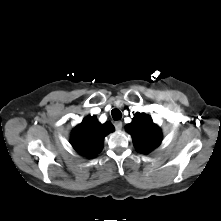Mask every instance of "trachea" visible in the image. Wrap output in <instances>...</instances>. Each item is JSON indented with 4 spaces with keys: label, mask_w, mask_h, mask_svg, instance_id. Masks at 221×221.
<instances>
[{
    "label": "trachea",
    "mask_w": 221,
    "mask_h": 221,
    "mask_svg": "<svg viewBox=\"0 0 221 221\" xmlns=\"http://www.w3.org/2000/svg\"><path fill=\"white\" fill-rule=\"evenodd\" d=\"M111 115L115 121L120 120L122 118V113L119 109H113L111 111Z\"/></svg>",
    "instance_id": "3493384b"
}]
</instances>
